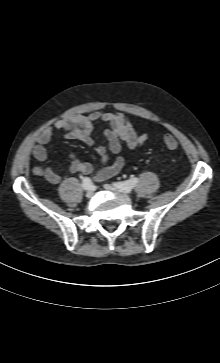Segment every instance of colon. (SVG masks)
<instances>
[{"instance_id": "obj_1", "label": "colon", "mask_w": 220, "mask_h": 363, "mask_svg": "<svg viewBox=\"0 0 220 363\" xmlns=\"http://www.w3.org/2000/svg\"><path fill=\"white\" fill-rule=\"evenodd\" d=\"M164 144L170 150H174L178 146L176 139L170 134L164 136Z\"/></svg>"}]
</instances>
